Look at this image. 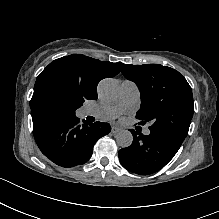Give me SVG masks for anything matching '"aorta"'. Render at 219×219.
<instances>
[{
	"label": "aorta",
	"mask_w": 219,
	"mask_h": 219,
	"mask_svg": "<svg viewBox=\"0 0 219 219\" xmlns=\"http://www.w3.org/2000/svg\"><path fill=\"white\" fill-rule=\"evenodd\" d=\"M98 93L103 101L112 102L119 96V85L114 79H103L98 85ZM116 142L122 148L129 147L133 142L132 133L128 130L118 132Z\"/></svg>",
	"instance_id": "1"
}]
</instances>
